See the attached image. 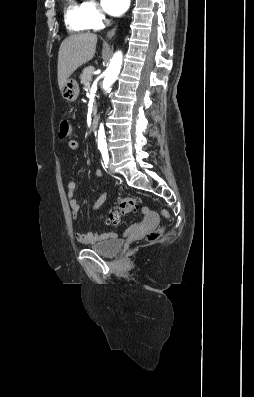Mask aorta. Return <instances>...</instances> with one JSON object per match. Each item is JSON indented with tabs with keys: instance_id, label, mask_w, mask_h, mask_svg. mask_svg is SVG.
Wrapping results in <instances>:
<instances>
[{
	"instance_id": "762f6f07",
	"label": "aorta",
	"mask_w": 254,
	"mask_h": 397,
	"mask_svg": "<svg viewBox=\"0 0 254 397\" xmlns=\"http://www.w3.org/2000/svg\"><path fill=\"white\" fill-rule=\"evenodd\" d=\"M122 65V53L116 52L105 72V78L103 81V89L110 91L112 84L115 82ZM98 146H106V136L104 131V125L101 123L98 130Z\"/></svg>"
}]
</instances>
